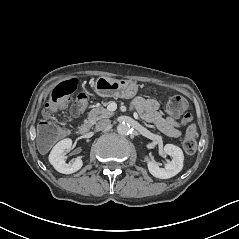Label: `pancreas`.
I'll return each instance as SVG.
<instances>
[{
	"label": "pancreas",
	"instance_id": "obj_1",
	"mask_svg": "<svg viewBox=\"0 0 239 239\" xmlns=\"http://www.w3.org/2000/svg\"><path fill=\"white\" fill-rule=\"evenodd\" d=\"M113 115L114 112L108 111L104 107H96L88 113V122L93 125L96 124L97 121L103 118H110Z\"/></svg>",
	"mask_w": 239,
	"mask_h": 239
}]
</instances>
